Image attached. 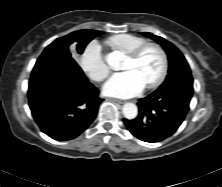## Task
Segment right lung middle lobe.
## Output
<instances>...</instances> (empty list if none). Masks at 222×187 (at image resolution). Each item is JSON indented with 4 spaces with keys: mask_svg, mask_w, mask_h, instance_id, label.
Returning a JSON list of instances; mask_svg holds the SVG:
<instances>
[{
    "mask_svg": "<svg viewBox=\"0 0 222 187\" xmlns=\"http://www.w3.org/2000/svg\"><path fill=\"white\" fill-rule=\"evenodd\" d=\"M102 32L96 30H79L72 32L64 37L58 38L53 41L46 49L48 50H61L65 53H70V48L76 46V51L82 54L86 45L95 37L101 35Z\"/></svg>",
    "mask_w": 222,
    "mask_h": 187,
    "instance_id": "right-lung-middle-lobe-1",
    "label": "right lung middle lobe"
}]
</instances>
